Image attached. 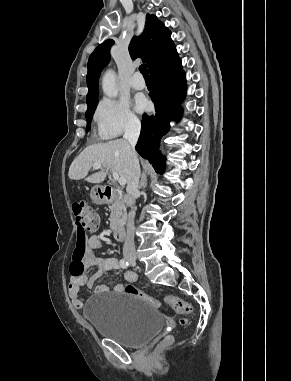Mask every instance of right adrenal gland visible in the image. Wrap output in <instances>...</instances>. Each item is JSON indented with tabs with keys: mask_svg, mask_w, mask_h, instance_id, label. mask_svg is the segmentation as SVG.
I'll return each instance as SVG.
<instances>
[{
	"mask_svg": "<svg viewBox=\"0 0 291 381\" xmlns=\"http://www.w3.org/2000/svg\"><path fill=\"white\" fill-rule=\"evenodd\" d=\"M147 186V175L146 173H143L141 175V179H140V183H139V189H141L142 187H146Z\"/></svg>",
	"mask_w": 291,
	"mask_h": 381,
	"instance_id": "2a0ac1e0",
	"label": "right adrenal gland"
}]
</instances>
